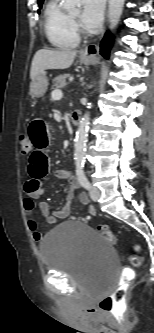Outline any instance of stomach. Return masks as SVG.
<instances>
[{"mask_svg": "<svg viewBox=\"0 0 154 333\" xmlns=\"http://www.w3.org/2000/svg\"><path fill=\"white\" fill-rule=\"evenodd\" d=\"M80 61L83 64H90L94 58L92 56L80 55ZM49 82L44 71L40 72L30 83V95L33 99L42 97L47 88Z\"/></svg>", "mask_w": 154, "mask_h": 333, "instance_id": "stomach-1", "label": "stomach"}]
</instances>
